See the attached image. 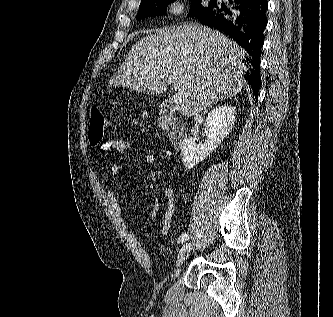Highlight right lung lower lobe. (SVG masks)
Returning a JSON list of instances; mask_svg holds the SVG:
<instances>
[{"label": "right lung lower lobe", "mask_w": 333, "mask_h": 317, "mask_svg": "<svg viewBox=\"0 0 333 317\" xmlns=\"http://www.w3.org/2000/svg\"><path fill=\"white\" fill-rule=\"evenodd\" d=\"M229 3L233 6L231 9L211 4L196 17L204 25L228 35L251 55V68L245 79L257 99L261 84L259 65L268 3L266 0H229Z\"/></svg>", "instance_id": "98d812e1"}]
</instances>
